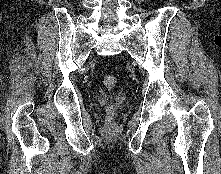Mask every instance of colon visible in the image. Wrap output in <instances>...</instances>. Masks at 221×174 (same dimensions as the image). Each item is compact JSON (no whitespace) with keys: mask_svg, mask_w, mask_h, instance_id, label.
Segmentation results:
<instances>
[{"mask_svg":"<svg viewBox=\"0 0 221 174\" xmlns=\"http://www.w3.org/2000/svg\"><path fill=\"white\" fill-rule=\"evenodd\" d=\"M116 83H117V79L114 75L112 74H106L104 75L103 77V84L104 86L106 87V89L110 92H112L116 86ZM107 115H108V118H109V121L111 122L112 121V116L114 114V111H115V108L113 106V104H109L107 106Z\"/></svg>","mask_w":221,"mask_h":174,"instance_id":"5ec220e1","label":"colon"}]
</instances>
